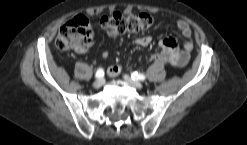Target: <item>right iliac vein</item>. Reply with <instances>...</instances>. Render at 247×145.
Segmentation results:
<instances>
[{"label": "right iliac vein", "mask_w": 247, "mask_h": 145, "mask_svg": "<svg viewBox=\"0 0 247 145\" xmlns=\"http://www.w3.org/2000/svg\"><path fill=\"white\" fill-rule=\"evenodd\" d=\"M104 84V79L100 78L97 79L94 83H93V87L98 89L100 87H102V85Z\"/></svg>", "instance_id": "obj_1"}]
</instances>
